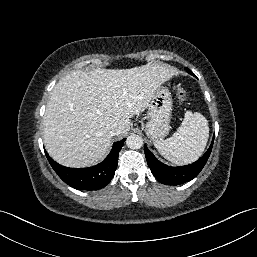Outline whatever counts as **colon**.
<instances>
[{"instance_id":"obj_1","label":"colon","mask_w":257,"mask_h":257,"mask_svg":"<svg viewBox=\"0 0 257 257\" xmlns=\"http://www.w3.org/2000/svg\"><path fill=\"white\" fill-rule=\"evenodd\" d=\"M174 90L176 92L177 97L179 98V100L183 101L186 99V90L183 87L182 83L180 82V80H175L174 81Z\"/></svg>"}]
</instances>
